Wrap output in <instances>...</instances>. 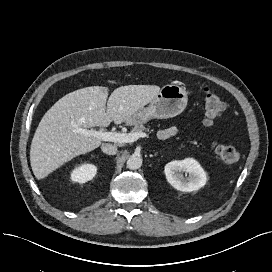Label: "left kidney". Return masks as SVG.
<instances>
[{
  "label": "left kidney",
  "instance_id": "left-kidney-1",
  "mask_svg": "<svg viewBox=\"0 0 272 272\" xmlns=\"http://www.w3.org/2000/svg\"><path fill=\"white\" fill-rule=\"evenodd\" d=\"M164 172L167 181L175 189L183 192L197 191L207 181L205 171L193 158L171 161L166 164ZM183 173L188 174V177H184Z\"/></svg>",
  "mask_w": 272,
  "mask_h": 272
}]
</instances>
